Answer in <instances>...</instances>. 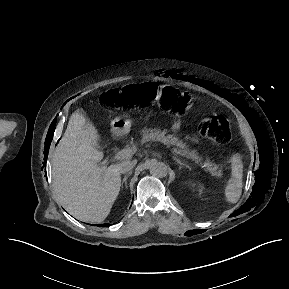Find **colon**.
I'll use <instances>...</instances> for the list:
<instances>
[{
  "label": "colon",
  "mask_w": 289,
  "mask_h": 289,
  "mask_svg": "<svg viewBox=\"0 0 289 289\" xmlns=\"http://www.w3.org/2000/svg\"><path fill=\"white\" fill-rule=\"evenodd\" d=\"M100 102L108 108L129 109L157 103L161 107L178 114L187 112L193 106V98L187 92H178L172 87L156 84L130 85L122 89H112L100 96ZM227 121L223 116H214L202 119L198 123L199 132L212 140H216L215 133L222 132L221 142L228 143L231 134L225 128Z\"/></svg>",
  "instance_id": "5ec220e1"
}]
</instances>
